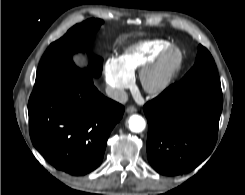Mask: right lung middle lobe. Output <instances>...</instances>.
Listing matches in <instances>:
<instances>
[{
  "label": "right lung middle lobe",
  "instance_id": "right-lung-middle-lobe-1",
  "mask_svg": "<svg viewBox=\"0 0 245 195\" xmlns=\"http://www.w3.org/2000/svg\"><path fill=\"white\" fill-rule=\"evenodd\" d=\"M102 23L99 19L86 20L73 26L62 38L52 43L38 66L33 91L45 89L71 77L99 76L102 71L100 57L91 56L93 64L81 70L75 66L72 54L86 48L92 32L98 30Z\"/></svg>",
  "mask_w": 245,
  "mask_h": 195
}]
</instances>
